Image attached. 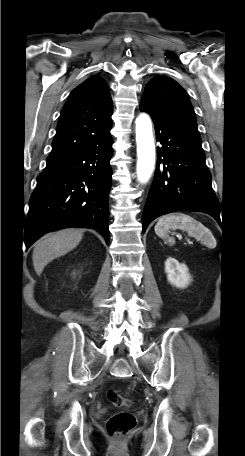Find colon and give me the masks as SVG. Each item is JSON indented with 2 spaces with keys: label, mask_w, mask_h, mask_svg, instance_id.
Returning a JSON list of instances; mask_svg holds the SVG:
<instances>
[{
  "label": "colon",
  "mask_w": 245,
  "mask_h": 456,
  "mask_svg": "<svg viewBox=\"0 0 245 456\" xmlns=\"http://www.w3.org/2000/svg\"><path fill=\"white\" fill-rule=\"evenodd\" d=\"M108 401L116 407H129L130 399L123 396L120 391L110 389L107 392ZM136 425L135 416L129 411H120L113 414L107 421L106 430L112 437H122L130 432Z\"/></svg>",
  "instance_id": "5ec220e1"
}]
</instances>
